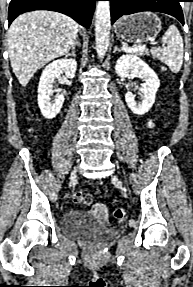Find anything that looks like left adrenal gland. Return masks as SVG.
I'll return each mask as SVG.
<instances>
[{
    "label": "left adrenal gland",
    "mask_w": 193,
    "mask_h": 287,
    "mask_svg": "<svg viewBox=\"0 0 193 287\" xmlns=\"http://www.w3.org/2000/svg\"><path fill=\"white\" fill-rule=\"evenodd\" d=\"M116 51H120V49L118 48V46H115V47H114L113 52L115 53Z\"/></svg>",
    "instance_id": "obj_1"
}]
</instances>
